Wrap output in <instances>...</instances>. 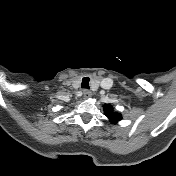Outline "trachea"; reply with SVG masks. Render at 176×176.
Instances as JSON below:
<instances>
[{"instance_id": "obj_1", "label": "trachea", "mask_w": 176, "mask_h": 176, "mask_svg": "<svg viewBox=\"0 0 176 176\" xmlns=\"http://www.w3.org/2000/svg\"><path fill=\"white\" fill-rule=\"evenodd\" d=\"M89 82H90V78L89 77H84L82 79L81 87L85 88V89H89Z\"/></svg>"}]
</instances>
